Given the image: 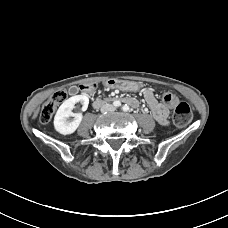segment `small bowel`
I'll return each instance as SVG.
<instances>
[{
    "mask_svg": "<svg viewBox=\"0 0 228 228\" xmlns=\"http://www.w3.org/2000/svg\"><path fill=\"white\" fill-rule=\"evenodd\" d=\"M106 85L108 87L117 88L120 90H131V89H133V85L129 82H126V81L109 80L106 83ZM141 92H142L143 98H144L145 102L147 103L148 107L150 108L155 120L159 124H161L163 126H167L169 124V121H168L169 109H168V107L156 99L152 90H150L148 88H144V89H142ZM130 99L133 100V103L130 105H132L134 107L138 105V101L136 99H133V98H130Z\"/></svg>",
    "mask_w": 228,
    "mask_h": 228,
    "instance_id": "c3829d8e",
    "label": "small bowel"
}]
</instances>
